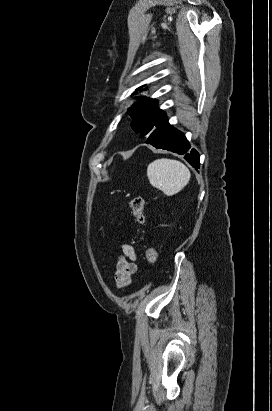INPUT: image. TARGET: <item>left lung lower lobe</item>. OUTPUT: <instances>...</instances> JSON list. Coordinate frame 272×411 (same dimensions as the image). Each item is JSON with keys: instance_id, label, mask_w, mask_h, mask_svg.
Here are the masks:
<instances>
[{"instance_id": "1", "label": "left lung lower lobe", "mask_w": 272, "mask_h": 411, "mask_svg": "<svg viewBox=\"0 0 272 411\" xmlns=\"http://www.w3.org/2000/svg\"><path fill=\"white\" fill-rule=\"evenodd\" d=\"M147 144L183 155L194 168H199V154L196 150H190L191 146L185 135L175 129L168 122L148 136Z\"/></svg>"}]
</instances>
